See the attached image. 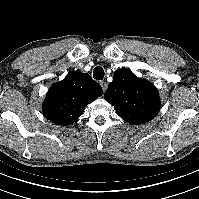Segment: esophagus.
<instances>
[{
	"instance_id": "esophagus-1",
	"label": "esophagus",
	"mask_w": 199,
	"mask_h": 199,
	"mask_svg": "<svg viewBox=\"0 0 199 199\" xmlns=\"http://www.w3.org/2000/svg\"><path fill=\"white\" fill-rule=\"evenodd\" d=\"M100 85H101L103 91H105L107 89V83L105 81H100Z\"/></svg>"
}]
</instances>
